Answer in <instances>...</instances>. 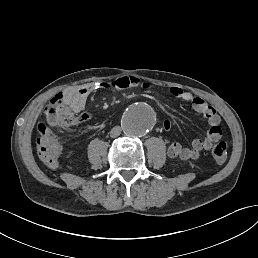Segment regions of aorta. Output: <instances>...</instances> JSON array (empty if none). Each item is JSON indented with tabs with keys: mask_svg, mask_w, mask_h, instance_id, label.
<instances>
[{
	"mask_svg": "<svg viewBox=\"0 0 258 258\" xmlns=\"http://www.w3.org/2000/svg\"><path fill=\"white\" fill-rule=\"evenodd\" d=\"M156 122L151 107L145 103L132 105L122 117V129L126 136L137 138L148 132Z\"/></svg>",
	"mask_w": 258,
	"mask_h": 258,
	"instance_id": "762f6f07",
	"label": "aorta"
}]
</instances>
